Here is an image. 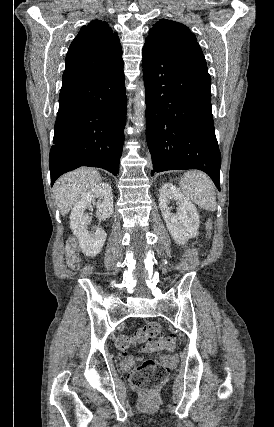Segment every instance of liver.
Instances as JSON below:
<instances>
[{
  "label": "liver",
  "mask_w": 274,
  "mask_h": 427,
  "mask_svg": "<svg viewBox=\"0 0 274 427\" xmlns=\"http://www.w3.org/2000/svg\"><path fill=\"white\" fill-rule=\"evenodd\" d=\"M100 180L97 170H93V168H79V170L61 176L53 188L61 214H68L72 206L79 202L81 196L90 192L92 186L98 184Z\"/></svg>",
  "instance_id": "liver-1"
}]
</instances>
